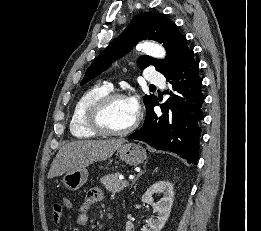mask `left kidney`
Returning a JSON list of instances; mask_svg holds the SVG:
<instances>
[{"label":"left kidney","mask_w":261,"mask_h":231,"mask_svg":"<svg viewBox=\"0 0 261 231\" xmlns=\"http://www.w3.org/2000/svg\"><path fill=\"white\" fill-rule=\"evenodd\" d=\"M156 193L163 194V197L157 202H153V195ZM174 199V187L168 181H158L150 186L142 196V202L150 204L153 207V213H157V218H150L141 231H160L171 212ZM134 225L128 221L126 231H133Z\"/></svg>","instance_id":"left-kidney-1"}]
</instances>
